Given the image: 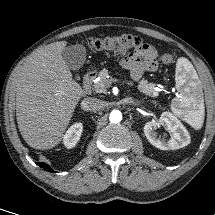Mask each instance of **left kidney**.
Listing matches in <instances>:
<instances>
[{
    "label": "left kidney",
    "mask_w": 215,
    "mask_h": 215,
    "mask_svg": "<svg viewBox=\"0 0 215 215\" xmlns=\"http://www.w3.org/2000/svg\"><path fill=\"white\" fill-rule=\"evenodd\" d=\"M164 126L172 136L166 141L164 137H159L155 131L158 127ZM144 134L148 141L160 150L180 149L190 144L189 132L184 125L170 112L162 113L158 121L147 122L144 126Z\"/></svg>",
    "instance_id": "obj_1"
}]
</instances>
